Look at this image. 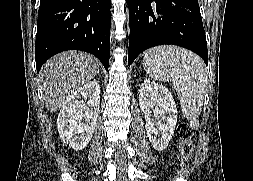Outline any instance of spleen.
<instances>
[{
	"label": "spleen",
	"instance_id": "3e777b00",
	"mask_svg": "<svg viewBox=\"0 0 253 181\" xmlns=\"http://www.w3.org/2000/svg\"><path fill=\"white\" fill-rule=\"evenodd\" d=\"M143 67L155 80L172 81L188 120L200 115L207 77L199 56L177 46H158L145 52Z\"/></svg>",
	"mask_w": 253,
	"mask_h": 181
}]
</instances>
